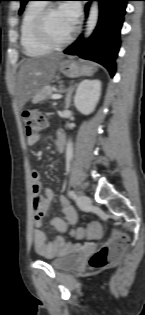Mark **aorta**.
Instances as JSON below:
<instances>
[{"instance_id": "obj_1", "label": "aorta", "mask_w": 145, "mask_h": 315, "mask_svg": "<svg viewBox=\"0 0 145 315\" xmlns=\"http://www.w3.org/2000/svg\"><path fill=\"white\" fill-rule=\"evenodd\" d=\"M99 17V5L98 2H93L90 8L89 16L87 19L85 37L88 38L94 31Z\"/></svg>"}]
</instances>
